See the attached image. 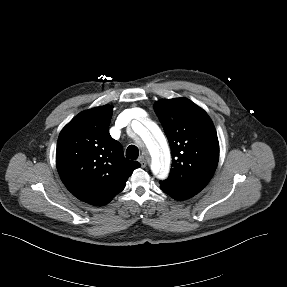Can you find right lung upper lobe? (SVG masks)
<instances>
[{
    "instance_id": "right-lung-upper-lobe-1",
    "label": "right lung upper lobe",
    "mask_w": 287,
    "mask_h": 287,
    "mask_svg": "<svg viewBox=\"0 0 287 287\" xmlns=\"http://www.w3.org/2000/svg\"><path fill=\"white\" fill-rule=\"evenodd\" d=\"M113 107L79 113L60 132L56 166L67 189L91 205L109 203L121 192L137 161L124 157L121 144L109 134Z\"/></svg>"
}]
</instances>
